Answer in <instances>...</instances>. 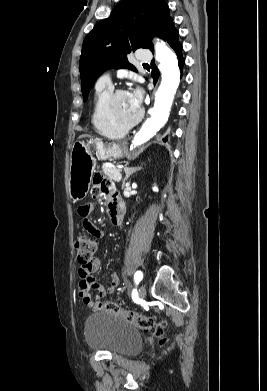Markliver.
Segmentation results:
<instances>
[{"label": "liver", "mask_w": 267, "mask_h": 391, "mask_svg": "<svg viewBox=\"0 0 267 391\" xmlns=\"http://www.w3.org/2000/svg\"><path fill=\"white\" fill-rule=\"evenodd\" d=\"M86 137H90V136L87 135V134H82V135L79 136V139L86 138Z\"/></svg>", "instance_id": "6515ba94"}]
</instances>
